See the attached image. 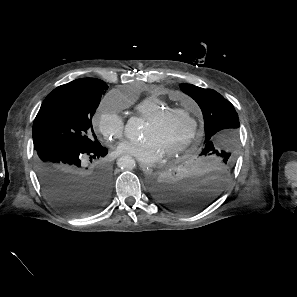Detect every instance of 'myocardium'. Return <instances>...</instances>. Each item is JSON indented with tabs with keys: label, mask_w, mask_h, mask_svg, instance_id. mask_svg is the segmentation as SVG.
Here are the masks:
<instances>
[{
	"label": "myocardium",
	"mask_w": 297,
	"mask_h": 297,
	"mask_svg": "<svg viewBox=\"0 0 297 297\" xmlns=\"http://www.w3.org/2000/svg\"><path fill=\"white\" fill-rule=\"evenodd\" d=\"M174 115L186 116L189 119V121L191 122V130H190V133L187 136V138L180 145L168 150L165 153V156L168 158L175 157V156L183 153L184 151H186L194 143V141L198 137V133H199V125H198V121H197L195 115L191 111L184 109V108L164 109V110L160 111L159 113H157L156 115L148 118L146 121L151 124H159L162 121H164L166 118H168L170 116H174Z\"/></svg>",
	"instance_id": "f54148a6"
}]
</instances>
